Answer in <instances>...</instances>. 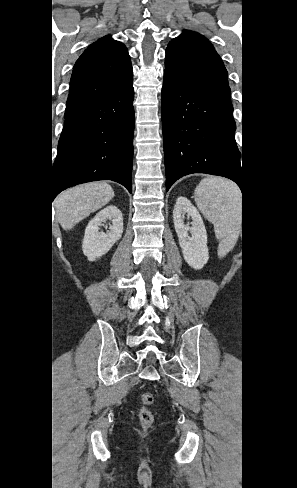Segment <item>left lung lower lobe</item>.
<instances>
[{
  "label": "left lung lower lobe",
  "mask_w": 297,
  "mask_h": 488,
  "mask_svg": "<svg viewBox=\"0 0 297 488\" xmlns=\"http://www.w3.org/2000/svg\"><path fill=\"white\" fill-rule=\"evenodd\" d=\"M162 125L166 191L185 175L206 173L233 180L243 193L233 109L164 72Z\"/></svg>",
  "instance_id": "1"
}]
</instances>
